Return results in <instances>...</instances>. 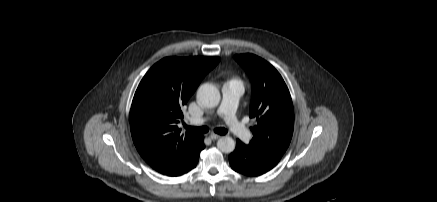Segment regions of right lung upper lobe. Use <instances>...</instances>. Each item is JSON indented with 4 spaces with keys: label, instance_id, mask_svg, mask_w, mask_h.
Returning <instances> with one entry per match:
<instances>
[{
    "label": "right lung upper lobe",
    "instance_id": "cb5924a9",
    "mask_svg": "<svg viewBox=\"0 0 437 202\" xmlns=\"http://www.w3.org/2000/svg\"><path fill=\"white\" fill-rule=\"evenodd\" d=\"M218 57H166L145 74L130 110L133 142L142 158L162 173L182 161L200 135L181 133L177 124L204 76Z\"/></svg>",
    "mask_w": 437,
    "mask_h": 202
}]
</instances>
